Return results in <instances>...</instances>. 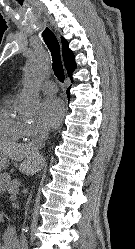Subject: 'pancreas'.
I'll return each instance as SVG.
<instances>
[{"instance_id": "cf45deb5", "label": "pancreas", "mask_w": 135, "mask_h": 249, "mask_svg": "<svg viewBox=\"0 0 135 249\" xmlns=\"http://www.w3.org/2000/svg\"><path fill=\"white\" fill-rule=\"evenodd\" d=\"M20 186L19 180L15 179L12 180L7 188V191L11 194V197H16V194L18 192Z\"/></svg>"}]
</instances>
